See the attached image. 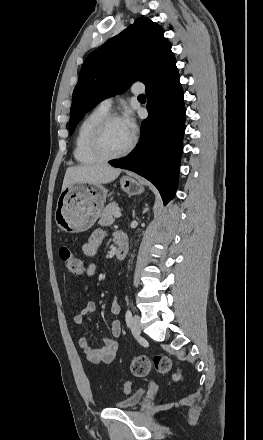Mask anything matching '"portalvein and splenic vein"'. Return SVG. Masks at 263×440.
<instances>
[{
    "instance_id": "1",
    "label": "portal vein and splenic vein",
    "mask_w": 263,
    "mask_h": 440,
    "mask_svg": "<svg viewBox=\"0 0 263 440\" xmlns=\"http://www.w3.org/2000/svg\"><path fill=\"white\" fill-rule=\"evenodd\" d=\"M114 216H115L116 218L121 217V212H120L119 210L116 211L115 214H114Z\"/></svg>"
}]
</instances>
